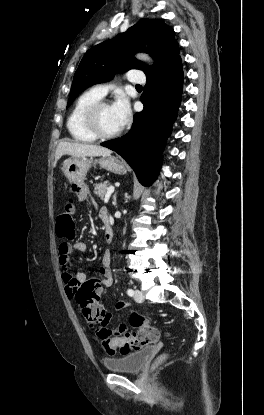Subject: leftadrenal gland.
<instances>
[{
	"label": "left adrenal gland",
	"mask_w": 264,
	"mask_h": 415,
	"mask_svg": "<svg viewBox=\"0 0 264 415\" xmlns=\"http://www.w3.org/2000/svg\"><path fill=\"white\" fill-rule=\"evenodd\" d=\"M116 195H117V192L113 195V204H114V206H116Z\"/></svg>",
	"instance_id": "left-adrenal-gland-1"
}]
</instances>
